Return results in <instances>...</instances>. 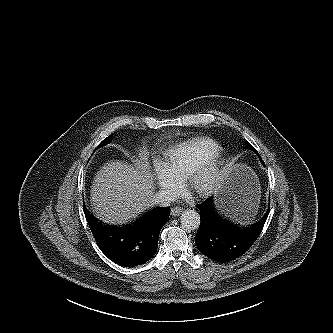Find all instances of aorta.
<instances>
[{
    "mask_svg": "<svg viewBox=\"0 0 333 333\" xmlns=\"http://www.w3.org/2000/svg\"><path fill=\"white\" fill-rule=\"evenodd\" d=\"M180 222L184 228L195 230L200 225V215L195 210H185L180 217Z\"/></svg>",
    "mask_w": 333,
    "mask_h": 333,
    "instance_id": "762f6f07",
    "label": "aorta"
}]
</instances>
